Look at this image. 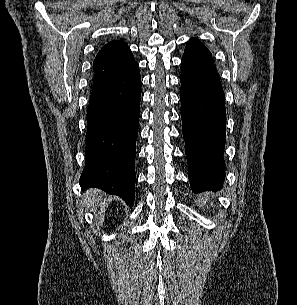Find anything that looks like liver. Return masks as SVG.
<instances>
[{
  "instance_id": "obj_1",
  "label": "liver",
  "mask_w": 297,
  "mask_h": 305,
  "mask_svg": "<svg viewBox=\"0 0 297 305\" xmlns=\"http://www.w3.org/2000/svg\"><path fill=\"white\" fill-rule=\"evenodd\" d=\"M102 201V194L96 190H90L84 195V205L90 207H98Z\"/></svg>"
}]
</instances>
